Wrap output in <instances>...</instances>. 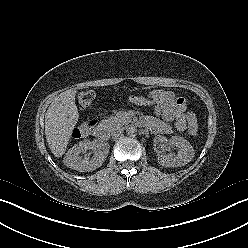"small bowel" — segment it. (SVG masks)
<instances>
[{"label":"small bowel","instance_id":"obj_1","mask_svg":"<svg viewBox=\"0 0 248 248\" xmlns=\"http://www.w3.org/2000/svg\"><path fill=\"white\" fill-rule=\"evenodd\" d=\"M138 105L155 104V114L159 120L143 118L154 132L167 134L172 130L171 121H175V128L183 131L186 128L189 113L186 112L187 101L184 98L175 97L171 91L153 90L146 97L134 99Z\"/></svg>","mask_w":248,"mask_h":248}]
</instances>
